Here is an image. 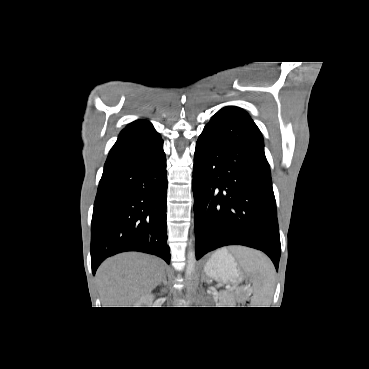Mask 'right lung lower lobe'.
I'll list each match as a JSON object with an SVG mask.
<instances>
[{"label":"right lung lower lobe","mask_w":369,"mask_h":369,"mask_svg":"<svg viewBox=\"0 0 369 369\" xmlns=\"http://www.w3.org/2000/svg\"><path fill=\"white\" fill-rule=\"evenodd\" d=\"M167 172L155 129L117 140L99 183L91 226V265L124 251L170 263L166 231Z\"/></svg>","instance_id":"98d812e1"}]
</instances>
